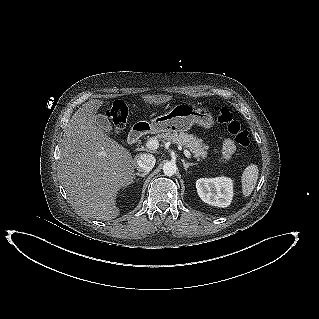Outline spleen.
<instances>
[{"label": "spleen", "instance_id": "spleen-1", "mask_svg": "<svg viewBox=\"0 0 319 319\" xmlns=\"http://www.w3.org/2000/svg\"><path fill=\"white\" fill-rule=\"evenodd\" d=\"M258 176L259 170L256 164H250L245 168L241 176L243 197L246 198L251 195L256 186Z\"/></svg>", "mask_w": 319, "mask_h": 319}]
</instances>
